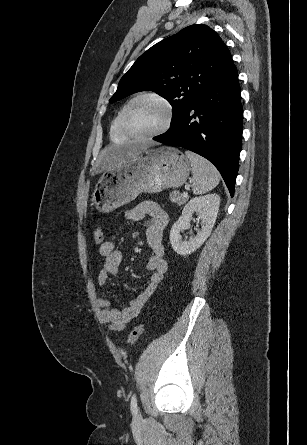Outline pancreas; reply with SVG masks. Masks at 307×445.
Masks as SVG:
<instances>
[{
  "label": "pancreas",
  "mask_w": 307,
  "mask_h": 445,
  "mask_svg": "<svg viewBox=\"0 0 307 445\" xmlns=\"http://www.w3.org/2000/svg\"><path fill=\"white\" fill-rule=\"evenodd\" d=\"M169 196L171 202H175V204H178V206H181V204H185V202H187L189 198V196H183L180 190H174V192H170Z\"/></svg>",
  "instance_id": "obj_1"
}]
</instances>
